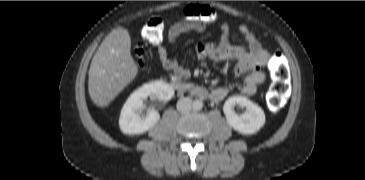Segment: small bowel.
<instances>
[{
  "label": "small bowel",
  "mask_w": 365,
  "mask_h": 180,
  "mask_svg": "<svg viewBox=\"0 0 365 180\" xmlns=\"http://www.w3.org/2000/svg\"><path fill=\"white\" fill-rule=\"evenodd\" d=\"M204 22H176L169 26L166 41L169 45L175 43L177 38L189 31H203ZM221 38L215 43H201L195 48V56L199 61H232L234 62L233 73L236 77L242 78L239 88L241 94L246 96L254 95L258 87L266 80L265 67L268 64L270 55L261 45L255 34L246 25L239 27V32L245 40L244 45L232 44L229 40V26L221 23ZM157 55L161 65L172 71L182 79H189L190 70L181 65L176 59L168 54L166 46L158 44ZM228 93L225 87H218L211 92L213 101L222 100Z\"/></svg>",
  "instance_id": "obj_1"
}]
</instances>
